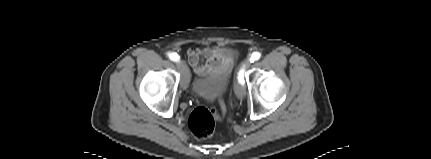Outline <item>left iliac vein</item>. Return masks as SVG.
<instances>
[{
  "label": "left iliac vein",
  "instance_id": "left-iliac-vein-1",
  "mask_svg": "<svg viewBox=\"0 0 431 159\" xmlns=\"http://www.w3.org/2000/svg\"><path fill=\"white\" fill-rule=\"evenodd\" d=\"M250 64H251L250 60L246 59L243 61L242 66L249 67ZM235 94L239 99H243L246 94V89L240 82H237L235 84Z\"/></svg>",
  "mask_w": 431,
  "mask_h": 159
}]
</instances>
